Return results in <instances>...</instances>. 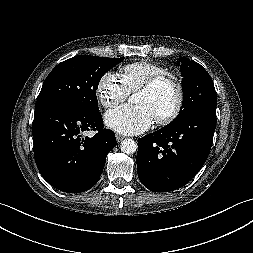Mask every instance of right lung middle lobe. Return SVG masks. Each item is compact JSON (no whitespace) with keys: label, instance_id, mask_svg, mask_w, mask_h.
<instances>
[{"label":"right lung middle lobe","instance_id":"obj_1","mask_svg":"<svg viewBox=\"0 0 253 253\" xmlns=\"http://www.w3.org/2000/svg\"><path fill=\"white\" fill-rule=\"evenodd\" d=\"M124 58L78 55L58 64L45 79L35 111L63 107L83 114L99 111L96 89L102 76Z\"/></svg>","mask_w":253,"mask_h":253}]
</instances>
